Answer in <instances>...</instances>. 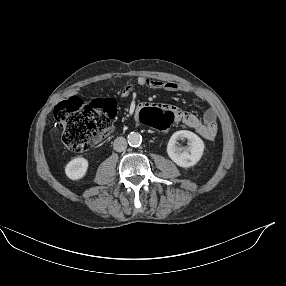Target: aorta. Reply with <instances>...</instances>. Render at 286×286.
I'll return each instance as SVG.
<instances>
[{"label":"aorta","instance_id":"762f6f07","mask_svg":"<svg viewBox=\"0 0 286 286\" xmlns=\"http://www.w3.org/2000/svg\"><path fill=\"white\" fill-rule=\"evenodd\" d=\"M127 139L128 144L132 147H137L142 143V136L137 132H131Z\"/></svg>","mask_w":286,"mask_h":286}]
</instances>
